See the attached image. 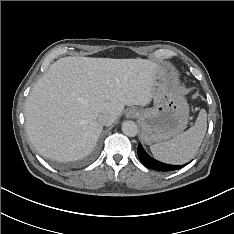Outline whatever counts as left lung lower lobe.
Returning <instances> with one entry per match:
<instances>
[{"mask_svg": "<svg viewBox=\"0 0 234 234\" xmlns=\"http://www.w3.org/2000/svg\"><path fill=\"white\" fill-rule=\"evenodd\" d=\"M138 157L140 161L148 168L160 170V171H172L183 168L185 165H169L159 162L152 157H150L146 151L143 149L142 145L139 143L138 146Z\"/></svg>", "mask_w": 234, "mask_h": 234, "instance_id": "0a47b994", "label": "left lung lower lobe"}]
</instances>
